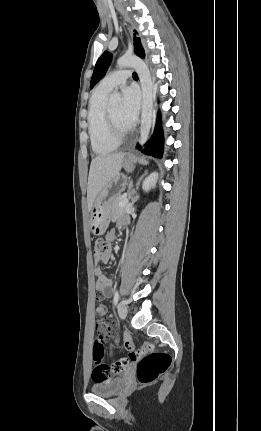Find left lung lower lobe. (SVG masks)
Wrapping results in <instances>:
<instances>
[{"instance_id":"obj_1","label":"left lung lower lobe","mask_w":261,"mask_h":431,"mask_svg":"<svg viewBox=\"0 0 261 431\" xmlns=\"http://www.w3.org/2000/svg\"><path fill=\"white\" fill-rule=\"evenodd\" d=\"M140 149V146H137ZM142 152L148 155H152L157 158H161L163 154V133L158 123L152 139L145 145V149H142Z\"/></svg>"}]
</instances>
